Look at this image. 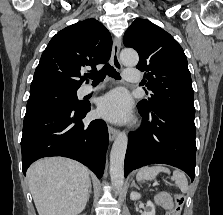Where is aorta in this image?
I'll return each instance as SVG.
<instances>
[{
    "label": "aorta",
    "mask_w": 223,
    "mask_h": 215,
    "mask_svg": "<svg viewBox=\"0 0 223 215\" xmlns=\"http://www.w3.org/2000/svg\"><path fill=\"white\" fill-rule=\"evenodd\" d=\"M121 62L124 66H137L139 56L135 50H122ZM128 137L125 131H120L114 139L110 153V177L114 189L121 191L124 185V157Z\"/></svg>",
    "instance_id": "762f6f07"
}]
</instances>
